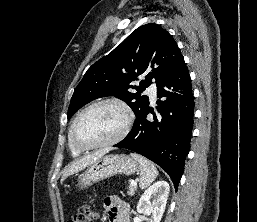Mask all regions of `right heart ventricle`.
<instances>
[{"instance_id":"obj_1","label":"right heart ventricle","mask_w":257,"mask_h":222,"mask_svg":"<svg viewBox=\"0 0 257 222\" xmlns=\"http://www.w3.org/2000/svg\"><path fill=\"white\" fill-rule=\"evenodd\" d=\"M69 132H70V130H69ZM68 146H69V149H70L72 155H74V156H78V155H80L83 152V151L78 150L77 148H75L73 146V144L71 143V140H70L69 133H68Z\"/></svg>"}]
</instances>
